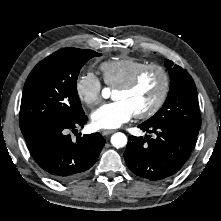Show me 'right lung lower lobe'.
Masks as SVG:
<instances>
[{"instance_id":"98d812e1","label":"right lung lower lobe","mask_w":221,"mask_h":221,"mask_svg":"<svg viewBox=\"0 0 221 221\" xmlns=\"http://www.w3.org/2000/svg\"><path fill=\"white\" fill-rule=\"evenodd\" d=\"M87 119L82 115L72 122L49 123L23 135L34 161L52 179L75 180L96 163L106 142L103 136L78 134L73 140L69 134L83 128Z\"/></svg>"}]
</instances>
